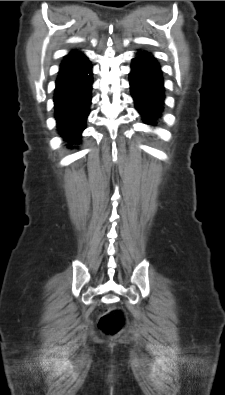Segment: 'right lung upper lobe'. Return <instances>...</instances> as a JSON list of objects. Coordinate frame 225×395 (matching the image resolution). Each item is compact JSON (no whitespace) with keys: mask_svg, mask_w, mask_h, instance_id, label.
<instances>
[{"mask_svg":"<svg viewBox=\"0 0 225 395\" xmlns=\"http://www.w3.org/2000/svg\"><path fill=\"white\" fill-rule=\"evenodd\" d=\"M88 62L89 60L84 54L77 50H72L64 56L63 61L60 64V70L79 67Z\"/></svg>","mask_w":225,"mask_h":395,"instance_id":"obj_1","label":"right lung upper lobe"}]
</instances>
